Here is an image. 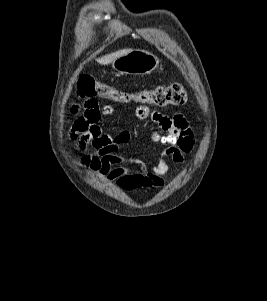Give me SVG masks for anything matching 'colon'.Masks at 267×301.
<instances>
[{
  "label": "colon",
  "instance_id": "colon-1",
  "mask_svg": "<svg viewBox=\"0 0 267 301\" xmlns=\"http://www.w3.org/2000/svg\"><path fill=\"white\" fill-rule=\"evenodd\" d=\"M77 95L81 98H104L117 102L138 101L158 108L182 105L187 99L184 87L179 83L156 86L136 93L124 92L113 86L82 76L77 83Z\"/></svg>",
  "mask_w": 267,
  "mask_h": 301
}]
</instances>
